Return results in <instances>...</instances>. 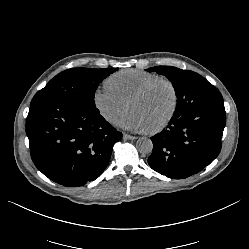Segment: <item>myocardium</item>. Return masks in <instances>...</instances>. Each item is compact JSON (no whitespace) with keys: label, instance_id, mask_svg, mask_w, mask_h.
I'll return each instance as SVG.
<instances>
[{"label":"myocardium","instance_id":"f54148a6","mask_svg":"<svg viewBox=\"0 0 249 249\" xmlns=\"http://www.w3.org/2000/svg\"><path fill=\"white\" fill-rule=\"evenodd\" d=\"M160 84H166L170 87V89L172 91V95H173V105H172V109H171L170 113L167 115V117L165 119H163L160 122L159 125L146 131L148 134H157V133L163 131L173 121V119L178 111L179 100H180L179 99V92H178V89H177L175 83L168 78H164V77L157 78L155 80L148 82L143 87H141L137 92H135L129 98V100L127 102V104L129 105L131 102L142 98L143 96L147 95L153 88H155L156 86H158Z\"/></svg>","mask_w":249,"mask_h":249}]
</instances>
